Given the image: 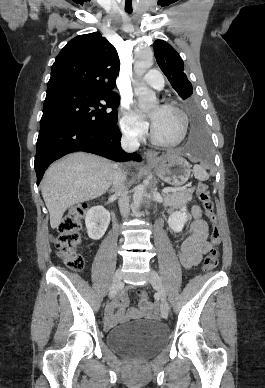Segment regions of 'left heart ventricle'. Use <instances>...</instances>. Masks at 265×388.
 <instances>
[{
  "instance_id": "obj_1",
  "label": "left heart ventricle",
  "mask_w": 265,
  "mask_h": 388,
  "mask_svg": "<svg viewBox=\"0 0 265 388\" xmlns=\"http://www.w3.org/2000/svg\"><path fill=\"white\" fill-rule=\"evenodd\" d=\"M147 91H155L153 86H146ZM153 112L157 114L155 127L158 134L165 139L175 138L180 129V118L177 114L164 107H154Z\"/></svg>"
}]
</instances>
